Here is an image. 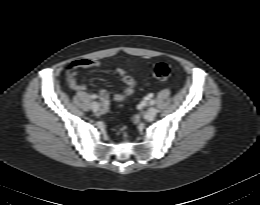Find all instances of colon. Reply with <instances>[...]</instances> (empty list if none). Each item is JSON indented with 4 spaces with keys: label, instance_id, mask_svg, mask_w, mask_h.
<instances>
[{
    "label": "colon",
    "instance_id": "colon-1",
    "mask_svg": "<svg viewBox=\"0 0 260 205\" xmlns=\"http://www.w3.org/2000/svg\"><path fill=\"white\" fill-rule=\"evenodd\" d=\"M151 74L154 78L165 81L171 76V68L165 63H158L153 67Z\"/></svg>",
    "mask_w": 260,
    "mask_h": 205
}]
</instances>
